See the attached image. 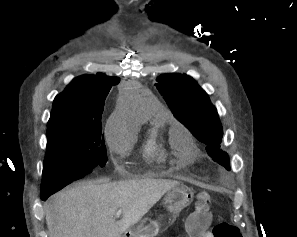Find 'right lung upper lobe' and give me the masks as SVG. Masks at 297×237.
I'll list each match as a JSON object with an SVG mask.
<instances>
[{"label":"right lung upper lobe","mask_w":297,"mask_h":237,"mask_svg":"<svg viewBox=\"0 0 297 237\" xmlns=\"http://www.w3.org/2000/svg\"><path fill=\"white\" fill-rule=\"evenodd\" d=\"M117 83V77L102 73L75 78L55 97L47 125L64 122L101 123L106 96Z\"/></svg>","instance_id":"obj_1"}]
</instances>
